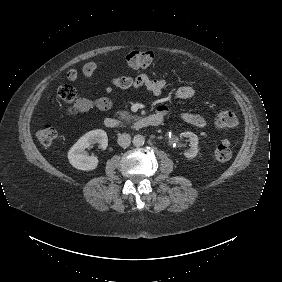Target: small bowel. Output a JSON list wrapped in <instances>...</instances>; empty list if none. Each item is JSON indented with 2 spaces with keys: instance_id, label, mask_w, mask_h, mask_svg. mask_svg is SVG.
I'll return each instance as SVG.
<instances>
[{
  "instance_id": "c3829d8e",
  "label": "small bowel",
  "mask_w": 282,
  "mask_h": 282,
  "mask_svg": "<svg viewBox=\"0 0 282 282\" xmlns=\"http://www.w3.org/2000/svg\"><path fill=\"white\" fill-rule=\"evenodd\" d=\"M98 69V64L94 61H89L82 67V74L86 77H92ZM66 77L69 81H76L79 77V72L75 68L67 71ZM111 86L107 88V92H115V90L127 91L138 88L147 89L153 96L159 98L163 95L167 86V82L163 79H153L146 74H140L136 77L118 76L111 78ZM196 90L191 86H182L178 88L174 94L177 100H188L196 96ZM113 106V100L109 97H99L96 99L79 98L69 107L71 114L84 113L90 110H109ZM154 114L161 115L163 118L167 114V108L159 106ZM179 118L187 124L203 129L206 128L208 122L202 115L180 111Z\"/></svg>"
}]
</instances>
